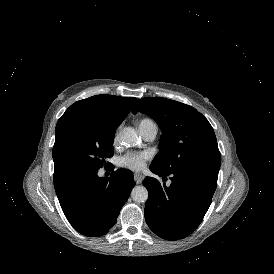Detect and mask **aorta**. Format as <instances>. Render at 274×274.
<instances>
[{"label":"aorta","instance_id":"aorta-1","mask_svg":"<svg viewBox=\"0 0 274 274\" xmlns=\"http://www.w3.org/2000/svg\"><path fill=\"white\" fill-rule=\"evenodd\" d=\"M121 141L128 147L136 146L139 142V137L133 128L128 127L123 130ZM131 197L135 202L142 203L148 200L149 193L144 186H135L131 192Z\"/></svg>","mask_w":274,"mask_h":274}]
</instances>
